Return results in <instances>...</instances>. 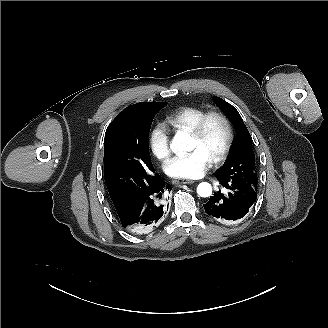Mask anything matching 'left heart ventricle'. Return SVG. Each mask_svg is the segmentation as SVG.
Instances as JSON below:
<instances>
[{"label": "left heart ventricle", "instance_id": "obj_1", "mask_svg": "<svg viewBox=\"0 0 328 328\" xmlns=\"http://www.w3.org/2000/svg\"><path fill=\"white\" fill-rule=\"evenodd\" d=\"M227 139V128L219 119H212L200 139L190 135L189 151L201 150L213 160L223 149Z\"/></svg>", "mask_w": 328, "mask_h": 328}]
</instances>
